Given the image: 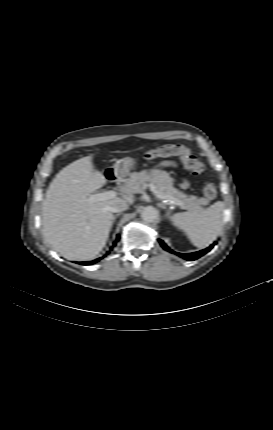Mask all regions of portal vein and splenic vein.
I'll list each match as a JSON object with an SVG mask.
<instances>
[{
	"instance_id": "obj_1",
	"label": "portal vein and splenic vein",
	"mask_w": 273,
	"mask_h": 430,
	"mask_svg": "<svg viewBox=\"0 0 273 430\" xmlns=\"http://www.w3.org/2000/svg\"><path fill=\"white\" fill-rule=\"evenodd\" d=\"M149 189L151 192H153V194L161 199L164 200L167 204H175L178 206L182 205V202L180 200H178L175 197L163 194L162 192H160L155 185L153 184H149ZM117 196V192L113 191V190H109L103 193H97V194H92L88 197L87 201L89 203H94V202H98V201H105V200H109V199H113Z\"/></svg>"
}]
</instances>
